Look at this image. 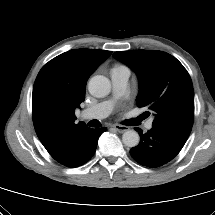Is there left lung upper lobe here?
<instances>
[{"mask_svg":"<svg viewBox=\"0 0 215 215\" xmlns=\"http://www.w3.org/2000/svg\"><path fill=\"white\" fill-rule=\"evenodd\" d=\"M113 56L138 75L137 106L153 112L152 126L185 143L194 120V91L183 65L163 51H118Z\"/></svg>","mask_w":215,"mask_h":215,"instance_id":"left-lung-upper-lobe-1","label":"left lung upper lobe"}]
</instances>
